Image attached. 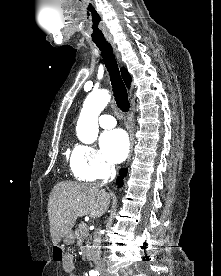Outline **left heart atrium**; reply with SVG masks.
<instances>
[{
    "label": "left heart atrium",
    "mask_w": 221,
    "mask_h": 276,
    "mask_svg": "<svg viewBox=\"0 0 221 276\" xmlns=\"http://www.w3.org/2000/svg\"><path fill=\"white\" fill-rule=\"evenodd\" d=\"M104 156L113 163H120L128 155L129 140L127 134L120 129L104 133L100 138Z\"/></svg>",
    "instance_id": "obj_1"
}]
</instances>
